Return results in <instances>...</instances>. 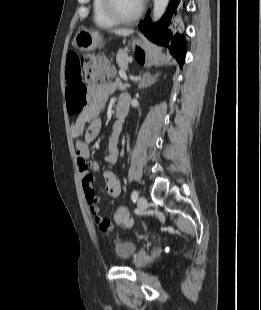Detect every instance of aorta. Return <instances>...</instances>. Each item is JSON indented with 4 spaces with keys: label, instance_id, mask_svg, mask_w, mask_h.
<instances>
[{
    "label": "aorta",
    "instance_id": "obj_1",
    "mask_svg": "<svg viewBox=\"0 0 261 310\" xmlns=\"http://www.w3.org/2000/svg\"><path fill=\"white\" fill-rule=\"evenodd\" d=\"M169 0H154V7H153V21H158L162 15L164 14L167 6H168Z\"/></svg>",
    "mask_w": 261,
    "mask_h": 310
}]
</instances>
